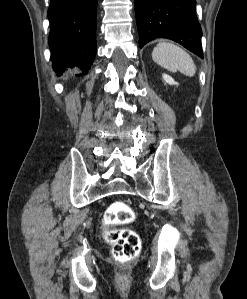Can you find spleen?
<instances>
[{
  "instance_id": "obj_1",
  "label": "spleen",
  "mask_w": 247,
  "mask_h": 299,
  "mask_svg": "<svg viewBox=\"0 0 247 299\" xmlns=\"http://www.w3.org/2000/svg\"><path fill=\"white\" fill-rule=\"evenodd\" d=\"M152 59L161 67L171 71H180L184 75L193 77L196 72V66L192 57L180 47L161 42L153 49Z\"/></svg>"
}]
</instances>
